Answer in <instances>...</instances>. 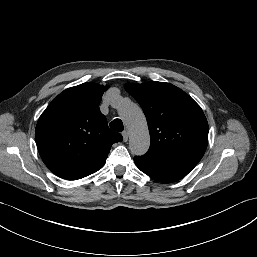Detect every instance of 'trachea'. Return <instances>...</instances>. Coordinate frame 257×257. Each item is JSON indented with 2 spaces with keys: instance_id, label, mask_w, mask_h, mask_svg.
<instances>
[{
  "instance_id": "trachea-1",
  "label": "trachea",
  "mask_w": 257,
  "mask_h": 257,
  "mask_svg": "<svg viewBox=\"0 0 257 257\" xmlns=\"http://www.w3.org/2000/svg\"><path fill=\"white\" fill-rule=\"evenodd\" d=\"M110 127L117 132H122L123 131V123L120 119H114L110 123Z\"/></svg>"
}]
</instances>
